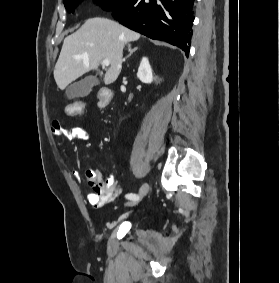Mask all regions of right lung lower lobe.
<instances>
[{
    "label": "right lung lower lobe",
    "instance_id": "98d812e1",
    "mask_svg": "<svg viewBox=\"0 0 280 283\" xmlns=\"http://www.w3.org/2000/svg\"><path fill=\"white\" fill-rule=\"evenodd\" d=\"M194 0H128L112 16L122 25L155 40H163L188 56Z\"/></svg>",
    "mask_w": 280,
    "mask_h": 283
}]
</instances>
